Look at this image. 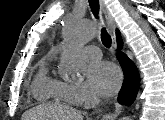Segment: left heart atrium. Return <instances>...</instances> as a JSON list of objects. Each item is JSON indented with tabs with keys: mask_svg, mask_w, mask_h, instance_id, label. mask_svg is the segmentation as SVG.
<instances>
[{
	"mask_svg": "<svg viewBox=\"0 0 165 120\" xmlns=\"http://www.w3.org/2000/svg\"><path fill=\"white\" fill-rule=\"evenodd\" d=\"M119 69L109 62H97L88 70V84L98 96L108 97L113 95L121 85Z\"/></svg>",
	"mask_w": 165,
	"mask_h": 120,
	"instance_id": "1",
	"label": "left heart atrium"
}]
</instances>
